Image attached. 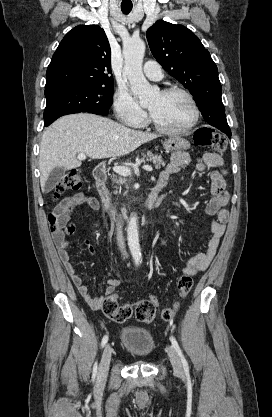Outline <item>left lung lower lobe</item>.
<instances>
[{
    "mask_svg": "<svg viewBox=\"0 0 272 417\" xmlns=\"http://www.w3.org/2000/svg\"><path fill=\"white\" fill-rule=\"evenodd\" d=\"M225 134H227L229 137H231V132H224Z\"/></svg>",
    "mask_w": 272,
    "mask_h": 417,
    "instance_id": "left-lung-lower-lobe-1",
    "label": "left lung lower lobe"
}]
</instances>
